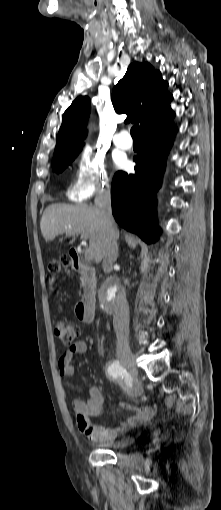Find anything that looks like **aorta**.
I'll list each match as a JSON object with an SVG mask.
<instances>
[{"label":"aorta","mask_w":221,"mask_h":510,"mask_svg":"<svg viewBox=\"0 0 221 510\" xmlns=\"http://www.w3.org/2000/svg\"><path fill=\"white\" fill-rule=\"evenodd\" d=\"M118 287L119 286H118L117 282H111L106 286L104 295H105V299L107 302H110L111 299L114 297L115 293L117 292Z\"/></svg>","instance_id":"762f6f07"}]
</instances>
